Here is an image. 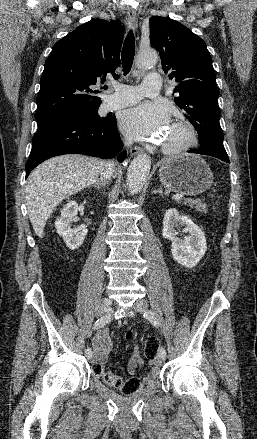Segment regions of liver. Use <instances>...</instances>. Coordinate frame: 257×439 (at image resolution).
<instances>
[{
	"label": "liver",
	"mask_w": 257,
	"mask_h": 439,
	"mask_svg": "<svg viewBox=\"0 0 257 439\" xmlns=\"http://www.w3.org/2000/svg\"><path fill=\"white\" fill-rule=\"evenodd\" d=\"M107 165L96 158L71 154L53 157L32 171L26 185L27 210L40 238L62 200L94 184Z\"/></svg>",
	"instance_id": "6515ba94"
}]
</instances>
